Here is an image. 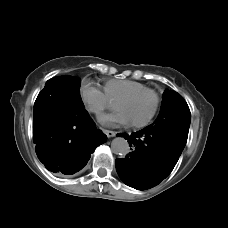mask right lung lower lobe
Listing matches in <instances>:
<instances>
[{"label":"right lung lower lobe","mask_w":228,"mask_h":228,"mask_svg":"<svg viewBox=\"0 0 228 228\" xmlns=\"http://www.w3.org/2000/svg\"><path fill=\"white\" fill-rule=\"evenodd\" d=\"M54 87L40 92L34 104L33 141L39 160L49 171L74 174L107 136L95 127L84 105L58 101Z\"/></svg>","instance_id":"right-lung-lower-lobe-1"}]
</instances>
